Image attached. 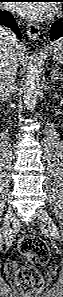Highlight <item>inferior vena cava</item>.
Here are the masks:
<instances>
[{"label":"inferior vena cava","instance_id":"inferior-vena-cava-1","mask_svg":"<svg viewBox=\"0 0 63 297\" xmlns=\"http://www.w3.org/2000/svg\"><path fill=\"white\" fill-rule=\"evenodd\" d=\"M9 45L0 54V97L1 101L8 103L14 94V82L17 73V52L18 39L9 31Z\"/></svg>","mask_w":63,"mask_h":297}]
</instances>
